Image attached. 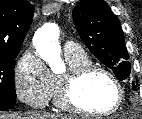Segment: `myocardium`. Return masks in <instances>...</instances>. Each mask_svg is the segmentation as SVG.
Segmentation results:
<instances>
[{
    "label": "myocardium",
    "mask_w": 142,
    "mask_h": 119,
    "mask_svg": "<svg viewBox=\"0 0 142 119\" xmlns=\"http://www.w3.org/2000/svg\"><path fill=\"white\" fill-rule=\"evenodd\" d=\"M96 73L103 74L109 78L117 92L115 104L110 109L102 112L90 111L76 100V92L79 87L87 78ZM122 102L123 89L120 81L112 72L102 66L89 64L75 69H69L64 75L58 78L57 104L64 110L90 117H105L114 114L120 108Z\"/></svg>",
    "instance_id": "myocardium-1"
}]
</instances>
